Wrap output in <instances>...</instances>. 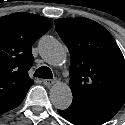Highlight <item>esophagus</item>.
I'll list each match as a JSON object with an SVG mask.
<instances>
[{
    "instance_id": "esophagus-1",
    "label": "esophagus",
    "mask_w": 125,
    "mask_h": 125,
    "mask_svg": "<svg viewBox=\"0 0 125 125\" xmlns=\"http://www.w3.org/2000/svg\"><path fill=\"white\" fill-rule=\"evenodd\" d=\"M42 82L45 86H48V87H50L56 83V81L53 79H44Z\"/></svg>"
}]
</instances>
